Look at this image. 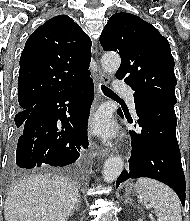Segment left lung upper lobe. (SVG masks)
Returning a JSON list of instances; mask_svg holds the SVG:
<instances>
[{
  "label": "left lung upper lobe",
  "mask_w": 190,
  "mask_h": 221,
  "mask_svg": "<svg viewBox=\"0 0 190 221\" xmlns=\"http://www.w3.org/2000/svg\"><path fill=\"white\" fill-rule=\"evenodd\" d=\"M100 43L105 51L120 55L116 77L135 90L134 99L176 103L174 59L167 39L154 26L133 14H114Z\"/></svg>",
  "instance_id": "5c2ea615"
}]
</instances>
